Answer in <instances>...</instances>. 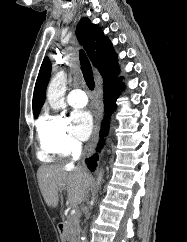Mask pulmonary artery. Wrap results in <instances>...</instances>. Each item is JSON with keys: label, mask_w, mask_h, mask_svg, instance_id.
Instances as JSON below:
<instances>
[{"label": "pulmonary artery", "mask_w": 187, "mask_h": 242, "mask_svg": "<svg viewBox=\"0 0 187 242\" xmlns=\"http://www.w3.org/2000/svg\"><path fill=\"white\" fill-rule=\"evenodd\" d=\"M68 103L76 108L84 107L87 104V96L81 89H73L67 96Z\"/></svg>", "instance_id": "1"}]
</instances>
